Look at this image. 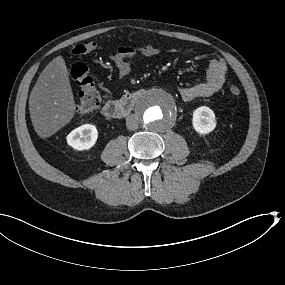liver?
I'll use <instances>...</instances> for the list:
<instances>
[{
  "label": "liver",
  "instance_id": "1",
  "mask_svg": "<svg viewBox=\"0 0 285 285\" xmlns=\"http://www.w3.org/2000/svg\"><path fill=\"white\" fill-rule=\"evenodd\" d=\"M76 105L63 57L57 56L39 75L29 97L33 127L41 138L55 134L71 121Z\"/></svg>",
  "mask_w": 285,
  "mask_h": 285
}]
</instances>
